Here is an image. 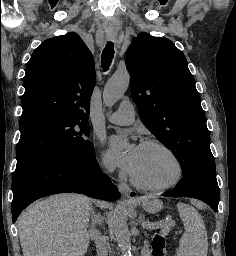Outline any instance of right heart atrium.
<instances>
[{
  "instance_id": "1",
  "label": "right heart atrium",
  "mask_w": 236,
  "mask_h": 256,
  "mask_svg": "<svg viewBox=\"0 0 236 256\" xmlns=\"http://www.w3.org/2000/svg\"><path fill=\"white\" fill-rule=\"evenodd\" d=\"M102 166L107 174H113L115 171V165L107 158L104 157L102 160Z\"/></svg>"
}]
</instances>
